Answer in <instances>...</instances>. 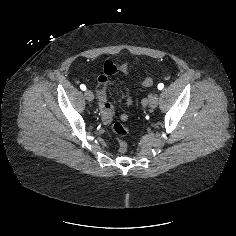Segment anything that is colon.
<instances>
[{
  "label": "colon",
  "instance_id": "obj_1",
  "mask_svg": "<svg viewBox=\"0 0 236 236\" xmlns=\"http://www.w3.org/2000/svg\"><path fill=\"white\" fill-rule=\"evenodd\" d=\"M152 84L153 80L151 78H146L142 81V85L145 87H149ZM143 104L145 105V102ZM112 130L118 136V151L122 154L125 153L127 151V143L123 138L128 135L129 129L123 124L116 122L112 125Z\"/></svg>",
  "mask_w": 236,
  "mask_h": 236
}]
</instances>
